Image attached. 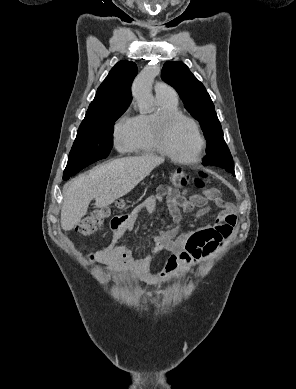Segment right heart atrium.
I'll list each match as a JSON object with an SVG mask.
<instances>
[{
    "label": "right heart atrium",
    "mask_w": 296,
    "mask_h": 389,
    "mask_svg": "<svg viewBox=\"0 0 296 389\" xmlns=\"http://www.w3.org/2000/svg\"><path fill=\"white\" fill-rule=\"evenodd\" d=\"M133 117L128 114L122 115L113 127V143L120 151H126L129 148L132 135Z\"/></svg>",
    "instance_id": "obj_1"
}]
</instances>
